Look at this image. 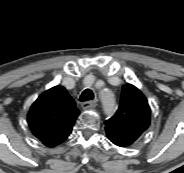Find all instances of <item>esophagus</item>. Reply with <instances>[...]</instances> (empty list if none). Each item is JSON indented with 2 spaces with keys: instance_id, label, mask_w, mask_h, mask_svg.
I'll use <instances>...</instances> for the list:
<instances>
[{
  "instance_id": "esophagus-1",
  "label": "esophagus",
  "mask_w": 184,
  "mask_h": 173,
  "mask_svg": "<svg viewBox=\"0 0 184 173\" xmlns=\"http://www.w3.org/2000/svg\"><path fill=\"white\" fill-rule=\"evenodd\" d=\"M81 106H82V108L84 110H86V109H93V108H95L97 106V101L96 100L87 101V102L82 103Z\"/></svg>"
}]
</instances>
